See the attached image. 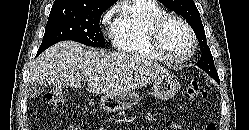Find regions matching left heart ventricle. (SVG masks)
<instances>
[{
	"instance_id": "left-heart-ventricle-1",
	"label": "left heart ventricle",
	"mask_w": 249,
	"mask_h": 130,
	"mask_svg": "<svg viewBox=\"0 0 249 130\" xmlns=\"http://www.w3.org/2000/svg\"><path fill=\"white\" fill-rule=\"evenodd\" d=\"M166 51L176 58L186 56L191 48V40L186 29L177 21H171L163 33Z\"/></svg>"
}]
</instances>
